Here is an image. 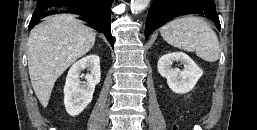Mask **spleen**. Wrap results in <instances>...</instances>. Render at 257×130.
I'll use <instances>...</instances> for the list:
<instances>
[{
    "label": "spleen",
    "mask_w": 257,
    "mask_h": 130,
    "mask_svg": "<svg viewBox=\"0 0 257 130\" xmlns=\"http://www.w3.org/2000/svg\"><path fill=\"white\" fill-rule=\"evenodd\" d=\"M162 38L170 45L195 52L207 62H216L220 46L216 33L200 17L184 16L170 21L160 30Z\"/></svg>",
    "instance_id": "1"
}]
</instances>
